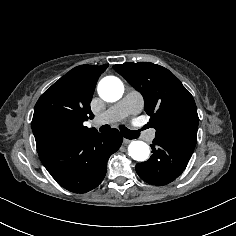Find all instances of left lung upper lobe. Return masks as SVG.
<instances>
[{"label":"left lung upper lobe","mask_w":236,"mask_h":236,"mask_svg":"<svg viewBox=\"0 0 236 236\" xmlns=\"http://www.w3.org/2000/svg\"><path fill=\"white\" fill-rule=\"evenodd\" d=\"M113 68L141 92L144 110L156 129L155 138L194 149L199 118L192 95L168 69L149 62L124 63Z\"/></svg>","instance_id":"1"}]
</instances>
